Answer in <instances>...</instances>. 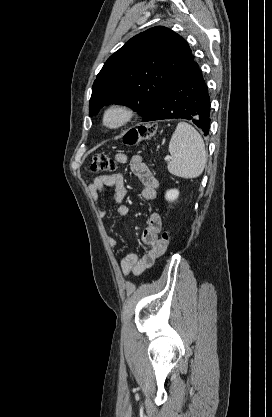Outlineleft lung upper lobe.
<instances>
[{
	"label": "left lung upper lobe",
	"mask_w": 272,
	"mask_h": 417,
	"mask_svg": "<svg viewBox=\"0 0 272 417\" xmlns=\"http://www.w3.org/2000/svg\"><path fill=\"white\" fill-rule=\"evenodd\" d=\"M193 59L188 43L170 29L142 32L109 57L97 75L89 115L111 103L132 107L143 118L178 73Z\"/></svg>",
	"instance_id": "5c2ea615"
}]
</instances>
